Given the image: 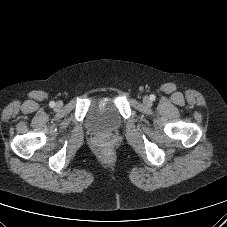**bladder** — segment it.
<instances>
[{"label": "bladder", "instance_id": "bladder-1", "mask_svg": "<svg viewBox=\"0 0 227 227\" xmlns=\"http://www.w3.org/2000/svg\"><path fill=\"white\" fill-rule=\"evenodd\" d=\"M85 123L92 133L111 134L122 126V117L113 103L101 100L89 109Z\"/></svg>", "mask_w": 227, "mask_h": 227}]
</instances>
